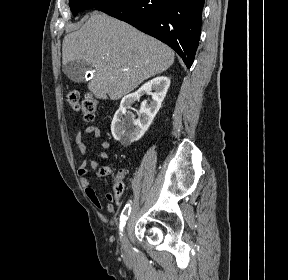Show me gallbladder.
<instances>
[{
	"label": "gallbladder",
	"mask_w": 288,
	"mask_h": 280,
	"mask_svg": "<svg viewBox=\"0 0 288 280\" xmlns=\"http://www.w3.org/2000/svg\"><path fill=\"white\" fill-rule=\"evenodd\" d=\"M89 65L82 60L69 61L63 64L64 74L72 81L81 83L85 81V73L88 71Z\"/></svg>",
	"instance_id": "obj_1"
}]
</instances>
